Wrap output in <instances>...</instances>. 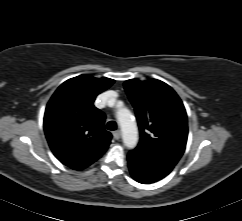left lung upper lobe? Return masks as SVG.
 <instances>
[{
	"mask_svg": "<svg viewBox=\"0 0 242 221\" xmlns=\"http://www.w3.org/2000/svg\"><path fill=\"white\" fill-rule=\"evenodd\" d=\"M124 88L135 108L140 130L135 150L176 165L188 136L187 114L179 96L157 79L127 80Z\"/></svg>",
	"mask_w": 242,
	"mask_h": 221,
	"instance_id": "left-lung-upper-lobe-1",
	"label": "left lung upper lobe"
}]
</instances>
